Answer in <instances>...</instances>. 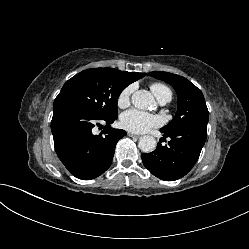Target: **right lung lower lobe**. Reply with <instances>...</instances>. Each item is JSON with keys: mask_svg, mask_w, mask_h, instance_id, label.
I'll return each mask as SVG.
<instances>
[{"mask_svg": "<svg viewBox=\"0 0 249 249\" xmlns=\"http://www.w3.org/2000/svg\"><path fill=\"white\" fill-rule=\"evenodd\" d=\"M115 117L94 116L68 101H54L51 131L56 153L75 177L89 180L105 172L114 156L117 142L126 131L110 127ZM106 123L99 135H94L95 123Z\"/></svg>", "mask_w": 249, "mask_h": 249, "instance_id": "right-lung-lower-lobe-1", "label": "right lung lower lobe"}]
</instances>
